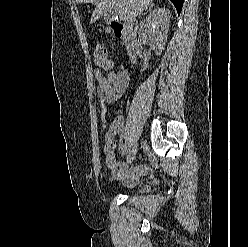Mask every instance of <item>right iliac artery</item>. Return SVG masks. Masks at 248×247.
<instances>
[{
    "label": "right iliac artery",
    "mask_w": 248,
    "mask_h": 247,
    "mask_svg": "<svg viewBox=\"0 0 248 247\" xmlns=\"http://www.w3.org/2000/svg\"><path fill=\"white\" fill-rule=\"evenodd\" d=\"M127 152H128V147L125 146V147H124V150H123V154H125V153H127Z\"/></svg>",
    "instance_id": "1"
}]
</instances>
